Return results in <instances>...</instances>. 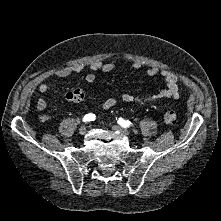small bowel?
<instances>
[{"instance_id":"1","label":"small bowel","mask_w":221,"mask_h":221,"mask_svg":"<svg viewBox=\"0 0 221 221\" xmlns=\"http://www.w3.org/2000/svg\"><path fill=\"white\" fill-rule=\"evenodd\" d=\"M141 65L139 63L133 64L134 68H139ZM91 72L88 73L85 77V80L87 83H93L96 80V72L103 71V72H111L114 71L117 68V64L115 62H102L99 60H94L89 65ZM84 69L83 64H74V65H67L64 67H61L57 70H55L54 75L59 78H65L72 75H75L77 73H80ZM147 75L149 77H155L160 75L164 81H165V88H163L158 93H155L148 97H139L134 96L130 93H123L120 95L119 98L111 97L107 99L102 105V109H109L115 106L119 101L125 102V103H135L137 105L143 106L148 104H154L157 102H160L162 100H168V99H177L179 97V93L181 90V86L179 83L178 76L167 70H160L156 66H151L147 69ZM38 90L41 93H47L51 90V84L48 82H41L38 85ZM82 90V89H81ZM73 93L67 92L65 94V98L69 100V96ZM83 100V99H82ZM36 107L38 110L43 111L47 107V102L45 99L40 98L37 100ZM51 120V117L47 114L40 115V121L41 122H48Z\"/></svg>"}]
</instances>
